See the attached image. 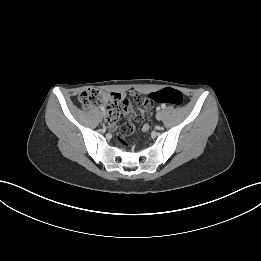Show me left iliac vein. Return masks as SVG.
I'll return each mask as SVG.
<instances>
[{
	"mask_svg": "<svg viewBox=\"0 0 261 261\" xmlns=\"http://www.w3.org/2000/svg\"><path fill=\"white\" fill-rule=\"evenodd\" d=\"M156 118H157V120H162L163 112L162 111H158L157 114H156Z\"/></svg>",
	"mask_w": 261,
	"mask_h": 261,
	"instance_id": "1",
	"label": "left iliac vein"
}]
</instances>
